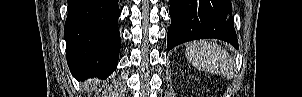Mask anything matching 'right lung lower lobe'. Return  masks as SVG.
Returning <instances> with one entry per match:
<instances>
[{"label":"right lung lower lobe","instance_id":"98d812e1","mask_svg":"<svg viewBox=\"0 0 302 97\" xmlns=\"http://www.w3.org/2000/svg\"><path fill=\"white\" fill-rule=\"evenodd\" d=\"M118 0H68L65 22L67 62L77 79L106 77L120 51Z\"/></svg>","mask_w":302,"mask_h":97}]
</instances>
